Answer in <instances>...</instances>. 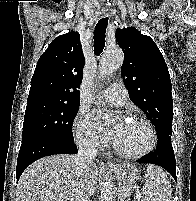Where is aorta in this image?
<instances>
[{
	"instance_id": "obj_1",
	"label": "aorta",
	"mask_w": 196,
	"mask_h": 201,
	"mask_svg": "<svg viewBox=\"0 0 196 201\" xmlns=\"http://www.w3.org/2000/svg\"><path fill=\"white\" fill-rule=\"evenodd\" d=\"M123 52L119 48L108 49L102 55L99 62V73L102 77L111 75L118 70L123 63ZM100 201H114L112 188L109 184H104L100 192Z\"/></svg>"
}]
</instances>
